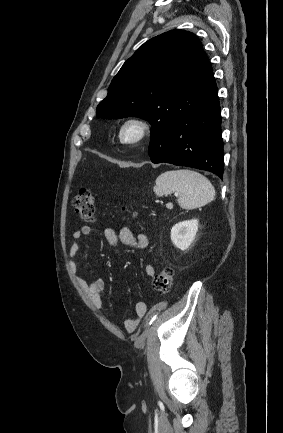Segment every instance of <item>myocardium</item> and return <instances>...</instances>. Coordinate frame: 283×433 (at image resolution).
I'll list each match as a JSON object with an SVG mask.
<instances>
[{
    "label": "myocardium",
    "mask_w": 283,
    "mask_h": 433,
    "mask_svg": "<svg viewBox=\"0 0 283 433\" xmlns=\"http://www.w3.org/2000/svg\"><path fill=\"white\" fill-rule=\"evenodd\" d=\"M136 127L137 134L131 138H124L123 132L128 127ZM153 124L152 122L142 116H131L126 118L119 126L117 130V138L122 145L125 146H137L145 142L152 134Z\"/></svg>",
    "instance_id": "obj_1"
}]
</instances>
